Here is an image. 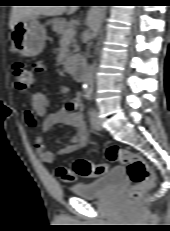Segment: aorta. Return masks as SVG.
Segmentation results:
<instances>
[{
	"label": "aorta",
	"mask_w": 170,
	"mask_h": 231,
	"mask_svg": "<svg viewBox=\"0 0 170 231\" xmlns=\"http://www.w3.org/2000/svg\"><path fill=\"white\" fill-rule=\"evenodd\" d=\"M105 10H106V6H99L95 11L96 21L98 26L101 24L104 18ZM94 80H95V66L93 64L89 66L83 80L84 88L86 91H92Z\"/></svg>",
	"instance_id": "762f6f07"
}]
</instances>
